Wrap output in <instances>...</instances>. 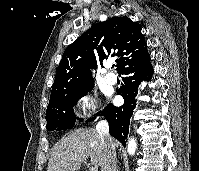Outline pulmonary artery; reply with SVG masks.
<instances>
[{"instance_id":"1","label":"pulmonary artery","mask_w":199,"mask_h":171,"mask_svg":"<svg viewBox=\"0 0 199 171\" xmlns=\"http://www.w3.org/2000/svg\"><path fill=\"white\" fill-rule=\"evenodd\" d=\"M104 80L109 85H114L116 83V77L112 73H106L104 76Z\"/></svg>"}]
</instances>
